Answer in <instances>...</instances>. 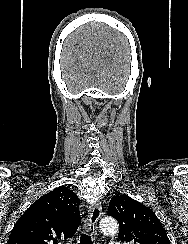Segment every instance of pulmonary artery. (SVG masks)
I'll use <instances>...</instances> for the list:
<instances>
[{
    "label": "pulmonary artery",
    "instance_id": "pulmonary-artery-1",
    "mask_svg": "<svg viewBox=\"0 0 188 244\" xmlns=\"http://www.w3.org/2000/svg\"><path fill=\"white\" fill-rule=\"evenodd\" d=\"M109 244H121L120 242H110Z\"/></svg>",
    "mask_w": 188,
    "mask_h": 244
}]
</instances>
